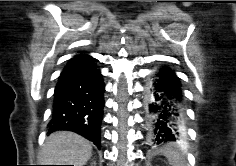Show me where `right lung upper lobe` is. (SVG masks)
Wrapping results in <instances>:
<instances>
[{"label":"right lung upper lobe","instance_id":"right-lung-upper-lobe-1","mask_svg":"<svg viewBox=\"0 0 236 166\" xmlns=\"http://www.w3.org/2000/svg\"><path fill=\"white\" fill-rule=\"evenodd\" d=\"M92 59H94V58L89 56L87 53L81 52V53L77 54L75 57H73L71 60H69L68 64L86 62V61H89Z\"/></svg>","mask_w":236,"mask_h":166}]
</instances>
